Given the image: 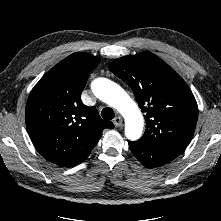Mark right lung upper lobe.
I'll return each instance as SVG.
<instances>
[{"label":"right lung upper lobe","instance_id":"1","mask_svg":"<svg viewBox=\"0 0 221 221\" xmlns=\"http://www.w3.org/2000/svg\"><path fill=\"white\" fill-rule=\"evenodd\" d=\"M100 59L76 52L49 70L32 89L25 110L32 143L49 162L63 167L81 163L105 128L112 129L95 107L85 106L81 93Z\"/></svg>","mask_w":221,"mask_h":221}]
</instances>
